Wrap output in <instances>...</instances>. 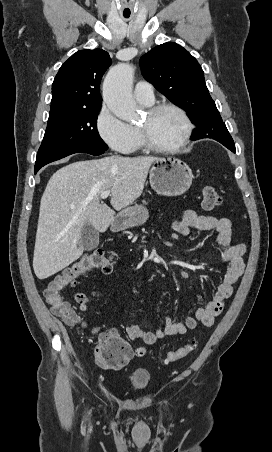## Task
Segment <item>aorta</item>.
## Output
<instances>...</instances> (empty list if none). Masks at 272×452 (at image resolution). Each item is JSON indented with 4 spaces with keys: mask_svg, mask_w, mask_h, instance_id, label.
Returning a JSON list of instances; mask_svg holds the SVG:
<instances>
[{
    "mask_svg": "<svg viewBox=\"0 0 272 452\" xmlns=\"http://www.w3.org/2000/svg\"><path fill=\"white\" fill-rule=\"evenodd\" d=\"M134 68L130 64H118L111 68L103 83V100L119 119L131 121L138 111L132 96Z\"/></svg>",
    "mask_w": 272,
    "mask_h": 452,
    "instance_id": "1",
    "label": "aorta"
}]
</instances>
